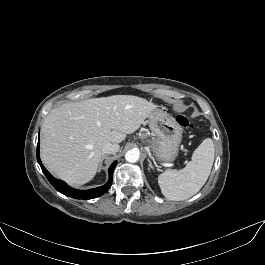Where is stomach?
I'll list each match as a JSON object with an SVG mask.
<instances>
[{"label":"stomach","instance_id":"0dacf381","mask_svg":"<svg viewBox=\"0 0 265 265\" xmlns=\"http://www.w3.org/2000/svg\"><path fill=\"white\" fill-rule=\"evenodd\" d=\"M147 123L153 135L148 144L155 157L159 162H173L182 140V127L161 109H155L148 116Z\"/></svg>","mask_w":265,"mask_h":265}]
</instances>
